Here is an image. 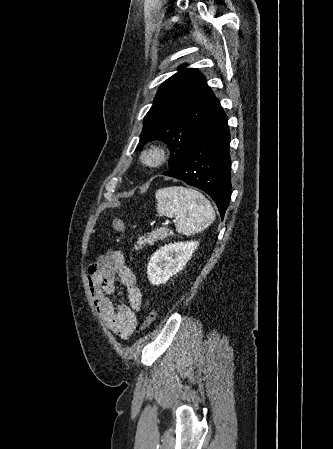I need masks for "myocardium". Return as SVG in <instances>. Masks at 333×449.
Segmentation results:
<instances>
[{"label":"myocardium","mask_w":333,"mask_h":449,"mask_svg":"<svg viewBox=\"0 0 333 449\" xmlns=\"http://www.w3.org/2000/svg\"><path fill=\"white\" fill-rule=\"evenodd\" d=\"M167 158V151L160 144H151L145 147L140 154V161L150 168H158L164 164Z\"/></svg>","instance_id":"obj_1"}]
</instances>
